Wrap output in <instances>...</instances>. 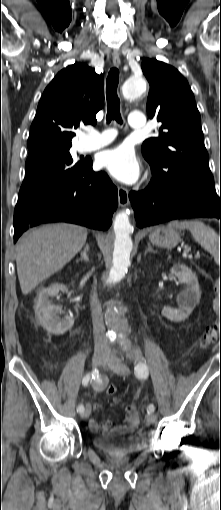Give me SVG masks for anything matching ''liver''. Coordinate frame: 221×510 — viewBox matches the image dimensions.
Listing matches in <instances>:
<instances>
[{
    "label": "liver",
    "instance_id": "obj_1",
    "mask_svg": "<svg viewBox=\"0 0 221 510\" xmlns=\"http://www.w3.org/2000/svg\"><path fill=\"white\" fill-rule=\"evenodd\" d=\"M87 240L84 227L58 223L25 233L16 245L17 274L24 295L61 270Z\"/></svg>",
    "mask_w": 221,
    "mask_h": 510
}]
</instances>
